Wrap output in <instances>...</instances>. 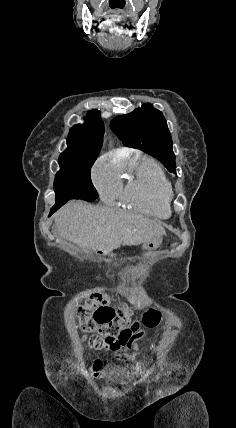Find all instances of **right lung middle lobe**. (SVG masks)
<instances>
[{
    "instance_id": "1",
    "label": "right lung middle lobe",
    "mask_w": 236,
    "mask_h": 428,
    "mask_svg": "<svg viewBox=\"0 0 236 428\" xmlns=\"http://www.w3.org/2000/svg\"><path fill=\"white\" fill-rule=\"evenodd\" d=\"M86 164H60L54 181L56 194L53 209H58L71 199H82L92 202L98 198L96 189L91 182V167Z\"/></svg>"
}]
</instances>
